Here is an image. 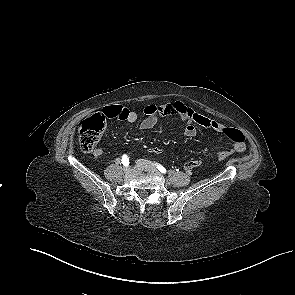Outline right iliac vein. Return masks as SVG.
Here are the masks:
<instances>
[{
    "mask_svg": "<svg viewBox=\"0 0 295 295\" xmlns=\"http://www.w3.org/2000/svg\"><path fill=\"white\" fill-rule=\"evenodd\" d=\"M129 171H130V167H129V166H125V167H124V172H125V173H128Z\"/></svg>",
    "mask_w": 295,
    "mask_h": 295,
    "instance_id": "63e3f726",
    "label": "right iliac vein"
}]
</instances>
